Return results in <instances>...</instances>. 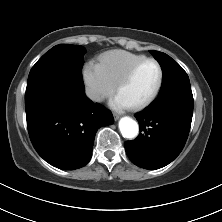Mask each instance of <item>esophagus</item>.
<instances>
[{
	"instance_id": "obj_1",
	"label": "esophagus",
	"mask_w": 222,
	"mask_h": 222,
	"mask_svg": "<svg viewBox=\"0 0 222 222\" xmlns=\"http://www.w3.org/2000/svg\"><path fill=\"white\" fill-rule=\"evenodd\" d=\"M113 116H114V119H115V120H118V119L120 118V115H119V114H114Z\"/></svg>"
}]
</instances>
